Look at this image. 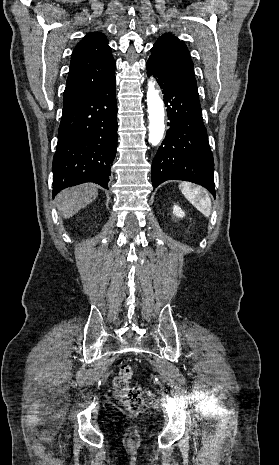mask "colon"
<instances>
[{
  "instance_id": "colon-1",
  "label": "colon",
  "mask_w": 279,
  "mask_h": 465,
  "mask_svg": "<svg viewBox=\"0 0 279 465\" xmlns=\"http://www.w3.org/2000/svg\"><path fill=\"white\" fill-rule=\"evenodd\" d=\"M133 370L128 364H121L118 375L114 378V393L120 403L130 411L140 409L144 404V399L140 388L132 386L130 380Z\"/></svg>"
}]
</instances>
